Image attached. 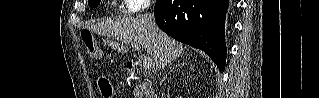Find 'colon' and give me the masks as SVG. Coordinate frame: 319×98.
I'll return each mask as SVG.
<instances>
[{"mask_svg":"<svg viewBox=\"0 0 319 98\" xmlns=\"http://www.w3.org/2000/svg\"><path fill=\"white\" fill-rule=\"evenodd\" d=\"M81 38L84 44L86 53L93 59H98L101 56V52L93 38L91 31L83 30L81 32ZM98 85L101 91V94L104 98H113L114 93L109 81L105 78H100L98 80Z\"/></svg>","mask_w":319,"mask_h":98,"instance_id":"colon-1","label":"colon"}]
</instances>
